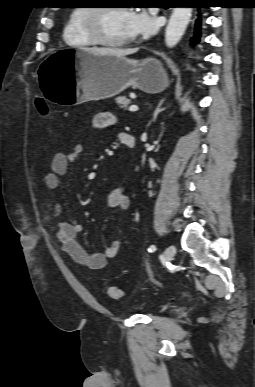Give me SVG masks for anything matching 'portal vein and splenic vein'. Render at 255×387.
Returning a JSON list of instances; mask_svg holds the SVG:
<instances>
[{"instance_id": "portal-vein-and-splenic-vein-1", "label": "portal vein and splenic vein", "mask_w": 255, "mask_h": 387, "mask_svg": "<svg viewBox=\"0 0 255 387\" xmlns=\"http://www.w3.org/2000/svg\"><path fill=\"white\" fill-rule=\"evenodd\" d=\"M138 106L137 105H131L130 107H129V111L130 112H135V111H138Z\"/></svg>"}]
</instances>
